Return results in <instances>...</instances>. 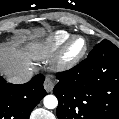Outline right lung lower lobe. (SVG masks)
Returning <instances> with one entry per match:
<instances>
[{
  "instance_id": "98d812e1",
  "label": "right lung lower lobe",
  "mask_w": 119,
  "mask_h": 119,
  "mask_svg": "<svg viewBox=\"0 0 119 119\" xmlns=\"http://www.w3.org/2000/svg\"><path fill=\"white\" fill-rule=\"evenodd\" d=\"M43 82L42 74L21 85L7 83L0 76V119H29L34 107L46 95Z\"/></svg>"
}]
</instances>
